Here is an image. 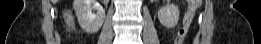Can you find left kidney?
I'll return each mask as SVG.
<instances>
[{
    "mask_svg": "<svg viewBox=\"0 0 261 44\" xmlns=\"http://www.w3.org/2000/svg\"><path fill=\"white\" fill-rule=\"evenodd\" d=\"M179 14L178 6L170 4L159 9L158 18L164 27L172 29L178 24Z\"/></svg>",
    "mask_w": 261,
    "mask_h": 44,
    "instance_id": "5707ae66",
    "label": "left kidney"
}]
</instances>
